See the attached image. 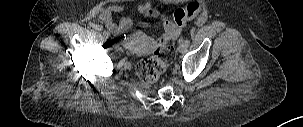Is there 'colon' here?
I'll list each match as a JSON object with an SVG mask.
<instances>
[{"mask_svg":"<svg viewBox=\"0 0 303 127\" xmlns=\"http://www.w3.org/2000/svg\"><path fill=\"white\" fill-rule=\"evenodd\" d=\"M201 10L200 4L196 2L190 3L185 8L178 9L174 13V20L178 26L182 27L187 21L196 17ZM174 58V48L167 41L158 39L156 40L153 55L142 59L136 65V74L145 83H155Z\"/></svg>","mask_w":303,"mask_h":127,"instance_id":"1","label":"colon"}]
</instances>
